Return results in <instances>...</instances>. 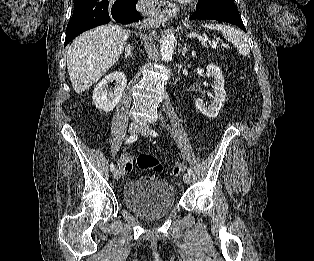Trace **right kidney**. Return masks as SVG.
Segmentation results:
<instances>
[{
    "instance_id": "1",
    "label": "right kidney",
    "mask_w": 314,
    "mask_h": 261,
    "mask_svg": "<svg viewBox=\"0 0 314 261\" xmlns=\"http://www.w3.org/2000/svg\"><path fill=\"white\" fill-rule=\"evenodd\" d=\"M116 82L114 92H108L106 87L108 82ZM127 84L126 76L123 72H114L104 77L94 88L93 103L96 108L109 112L119 104L122 99L124 89Z\"/></svg>"
}]
</instances>
